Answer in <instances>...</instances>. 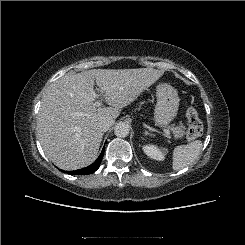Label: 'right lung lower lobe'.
Returning <instances> with one entry per match:
<instances>
[{"label": "right lung lower lobe", "mask_w": 245, "mask_h": 245, "mask_svg": "<svg viewBox=\"0 0 245 245\" xmlns=\"http://www.w3.org/2000/svg\"><path fill=\"white\" fill-rule=\"evenodd\" d=\"M103 155H104V148H103L101 154L99 155L98 159L93 164H91L90 166L85 167L83 169L71 171L68 173L73 174V175H87V174H91V173L95 172L100 166Z\"/></svg>", "instance_id": "obj_1"}]
</instances>
